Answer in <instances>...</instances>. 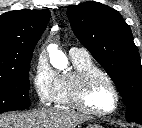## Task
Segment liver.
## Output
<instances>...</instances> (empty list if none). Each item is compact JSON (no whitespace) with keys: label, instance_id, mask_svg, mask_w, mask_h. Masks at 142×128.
<instances>
[{"label":"liver","instance_id":"obj_1","mask_svg":"<svg viewBox=\"0 0 142 128\" xmlns=\"http://www.w3.org/2000/svg\"><path fill=\"white\" fill-rule=\"evenodd\" d=\"M87 117L63 108H41L0 115V128H75Z\"/></svg>","mask_w":142,"mask_h":128}]
</instances>
